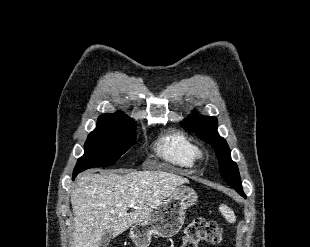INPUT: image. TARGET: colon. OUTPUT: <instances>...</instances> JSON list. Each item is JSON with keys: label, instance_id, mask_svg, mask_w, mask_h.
I'll list each match as a JSON object with an SVG mask.
<instances>
[{"label": "colon", "instance_id": "5ec220e1", "mask_svg": "<svg viewBox=\"0 0 310 247\" xmlns=\"http://www.w3.org/2000/svg\"><path fill=\"white\" fill-rule=\"evenodd\" d=\"M205 241L219 244L222 241V228L214 221L196 218L184 229L181 247H198L199 242Z\"/></svg>", "mask_w": 310, "mask_h": 247}]
</instances>
